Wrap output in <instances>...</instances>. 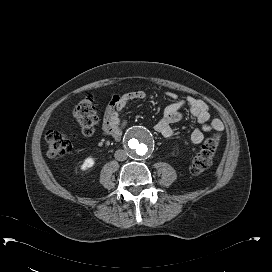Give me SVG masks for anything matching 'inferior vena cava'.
Instances as JSON below:
<instances>
[{
	"label": "inferior vena cava",
	"instance_id": "1",
	"mask_svg": "<svg viewBox=\"0 0 272 272\" xmlns=\"http://www.w3.org/2000/svg\"><path fill=\"white\" fill-rule=\"evenodd\" d=\"M114 157H115V159L118 160V161H124V160L127 159L128 154H127V152H126L125 150L119 149V150H117V151L115 152Z\"/></svg>",
	"mask_w": 272,
	"mask_h": 272
}]
</instances>
